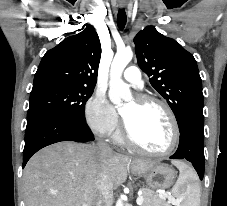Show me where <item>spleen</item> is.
Here are the masks:
<instances>
[{
  "instance_id": "1",
  "label": "spleen",
  "mask_w": 227,
  "mask_h": 206,
  "mask_svg": "<svg viewBox=\"0 0 227 206\" xmlns=\"http://www.w3.org/2000/svg\"><path fill=\"white\" fill-rule=\"evenodd\" d=\"M179 169V178L172 189V195L181 202V206H199L200 187L192 183L197 179L193 170L188 169L184 163L173 162Z\"/></svg>"
}]
</instances>
